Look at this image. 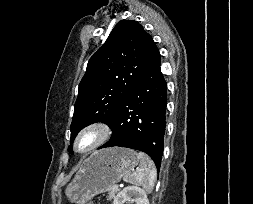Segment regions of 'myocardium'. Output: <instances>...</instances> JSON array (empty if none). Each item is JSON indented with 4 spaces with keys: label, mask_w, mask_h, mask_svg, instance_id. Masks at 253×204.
Listing matches in <instances>:
<instances>
[{
    "label": "myocardium",
    "mask_w": 253,
    "mask_h": 204,
    "mask_svg": "<svg viewBox=\"0 0 253 204\" xmlns=\"http://www.w3.org/2000/svg\"><path fill=\"white\" fill-rule=\"evenodd\" d=\"M87 134H94L95 139L85 149L79 148L80 140ZM110 126L103 121H93L82 127L76 134L73 141V149L80 155H87L103 146L111 137Z\"/></svg>",
    "instance_id": "myocardium-1"
}]
</instances>
